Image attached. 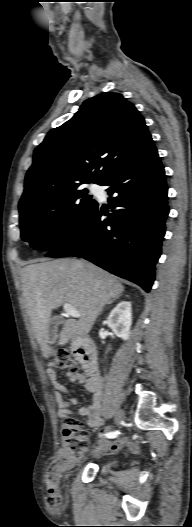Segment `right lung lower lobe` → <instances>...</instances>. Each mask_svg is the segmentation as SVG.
<instances>
[{
	"instance_id": "98d812e1",
	"label": "right lung lower lobe",
	"mask_w": 192,
	"mask_h": 527,
	"mask_svg": "<svg viewBox=\"0 0 192 527\" xmlns=\"http://www.w3.org/2000/svg\"><path fill=\"white\" fill-rule=\"evenodd\" d=\"M101 185L109 186L112 212L97 203L85 223L46 256L84 257L149 292L169 213L166 176L152 139Z\"/></svg>"
}]
</instances>
